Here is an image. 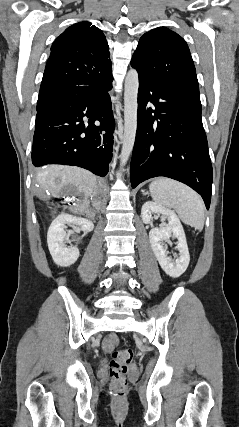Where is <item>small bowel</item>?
<instances>
[{
	"label": "small bowel",
	"mask_w": 239,
	"mask_h": 427,
	"mask_svg": "<svg viewBox=\"0 0 239 427\" xmlns=\"http://www.w3.org/2000/svg\"><path fill=\"white\" fill-rule=\"evenodd\" d=\"M117 343H118L117 336L114 334H111L103 341V349L106 352H110Z\"/></svg>",
	"instance_id": "1"
}]
</instances>
